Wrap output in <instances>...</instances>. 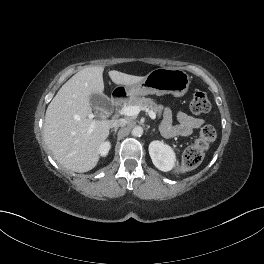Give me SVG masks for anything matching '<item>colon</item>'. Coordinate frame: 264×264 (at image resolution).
<instances>
[{
    "mask_svg": "<svg viewBox=\"0 0 264 264\" xmlns=\"http://www.w3.org/2000/svg\"><path fill=\"white\" fill-rule=\"evenodd\" d=\"M190 109L193 113L201 114L210 110V102L206 94L197 91L193 94L190 101ZM216 138V130L211 125H205L201 128L195 144L189 146L183 153L180 170H189L195 168L202 160L204 151Z\"/></svg>",
    "mask_w": 264,
    "mask_h": 264,
    "instance_id": "colon-1",
    "label": "colon"
}]
</instances>
